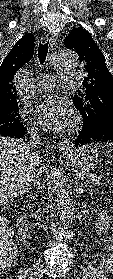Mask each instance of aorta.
<instances>
[{"mask_svg": "<svg viewBox=\"0 0 113 279\" xmlns=\"http://www.w3.org/2000/svg\"><path fill=\"white\" fill-rule=\"evenodd\" d=\"M53 64L68 68H76L79 58L74 50L61 48L54 53ZM50 180L52 193L56 198L57 211L65 225H71L75 218L72 194L69 190L66 176L56 167L51 168Z\"/></svg>", "mask_w": 113, "mask_h": 279, "instance_id": "1", "label": "aorta"}]
</instances>
